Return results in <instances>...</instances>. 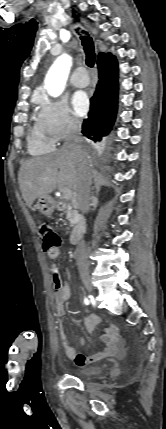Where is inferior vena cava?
<instances>
[{"instance_id": "602c4592", "label": "inferior vena cava", "mask_w": 166, "mask_h": 429, "mask_svg": "<svg viewBox=\"0 0 166 429\" xmlns=\"http://www.w3.org/2000/svg\"><path fill=\"white\" fill-rule=\"evenodd\" d=\"M81 122L71 119L68 125L67 136L63 145L64 149H68L75 153L81 159L78 181V202L80 209L86 213L89 209L90 200V185L92 183V170L87 155L84 153L81 143ZM75 256L77 260L86 259L85 242L81 241L76 248Z\"/></svg>"}]
</instances>
